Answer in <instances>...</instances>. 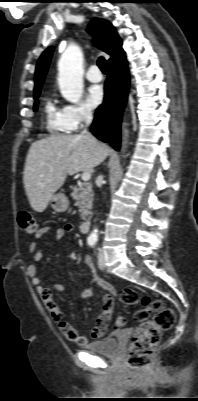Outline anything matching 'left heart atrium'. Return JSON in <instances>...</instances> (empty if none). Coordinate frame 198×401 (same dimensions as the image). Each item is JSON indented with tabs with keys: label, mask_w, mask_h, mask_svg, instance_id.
Returning a JSON list of instances; mask_svg holds the SVG:
<instances>
[{
	"label": "left heart atrium",
	"mask_w": 198,
	"mask_h": 401,
	"mask_svg": "<svg viewBox=\"0 0 198 401\" xmlns=\"http://www.w3.org/2000/svg\"><path fill=\"white\" fill-rule=\"evenodd\" d=\"M105 98V92L101 85L91 86L87 93V102L93 108L102 104Z\"/></svg>",
	"instance_id": "obj_1"
}]
</instances>
